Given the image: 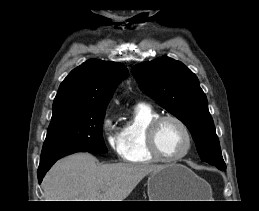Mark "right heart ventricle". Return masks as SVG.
Listing matches in <instances>:
<instances>
[{"mask_svg": "<svg viewBox=\"0 0 259 211\" xmlns=\"http://www.w3.org/2000/svg\"><path fill=\"white\" fill-rule=\"evenodd\" d=\"M158 116V112L148 104L139 103L134 107L130 118L120 129L123 160L130 163L155 161L147 147L146 130Z\"/></svg>", "mask_w": 259, "mask_h": 211, "instance_id": "e07e8e85", "label": "right heart ventricle"}]
</instances>
